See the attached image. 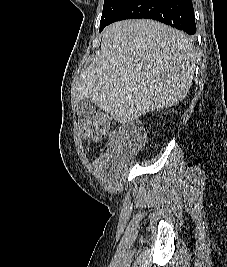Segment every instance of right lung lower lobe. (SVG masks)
<instances>
[{"label":"right lung lower lobe","mask_w":227,"mask_h":267,"mask_svg":"<svg viewBox=\"0 0 227 267\" xmlns=\"http://www.w3.org/2000/svg\"><path fill=\"white\" fill-rule=\"evenodd\" d=\"M134 18L157 20L183 30L189 35H194L196 32L191 0H127L108 25Z\"/></svg>","instance_id":"right-lung-lower-lobe-1"}]
</instances>
